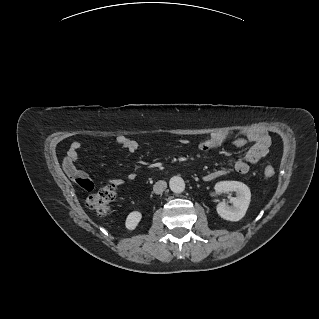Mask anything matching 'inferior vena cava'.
Listing matches in <instances>:
<instances>
[{"label":"inferior vena cava","instance_id":"1","mask_svg":"<svg viewBox=\"0 0 319 319\" xmlns=\"http://www.w3.org/2000/svg\"><path fill=\"white\" fill-rule=\"evenodd\" d=\"M167 188V183L164 180L157 181L153 186V191L155 194H161Z\"/></svg>","mask_w":319,"mask_h":319}]
</instances>
